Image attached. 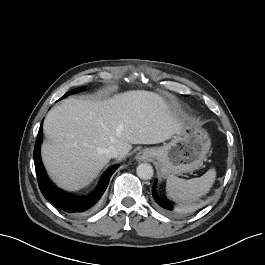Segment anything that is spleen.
I'll return each mask as SVG.
<instances>
[{"mask_svg":"<svg viewBox=\"0 0 265 265\" xmlns=\"http://www.w3.org/2000/svg\"><path fill=\"white\" fill-rule=\"evenodd\" d=\"M215 177L216 171L214 168L209 169L201 177L189 180L171 175L167 178V194L174 199L195 200L210 190Z\"/></svg>","mask_w":265,"mask_h":265,"instance_id":"obj_1","label":"spleen"}]
</instances>
